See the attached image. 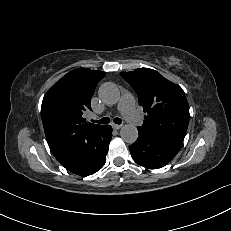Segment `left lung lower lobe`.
<instances>
[{
    "instance_id": "left-lung-lower-lobe-1",
    "label": "left lung lower lobe",
    "mask_w": 231,
    "mask_h": 231,
    "mask_svg": "<svg viewBox=\"0 0 231 231\" xmlns=\"http://www.w3.org/2000/svg\"><path fill=\"white\" fill-rule=\"evenodd\" d=\"M139 137L129 146L133 159L141 166L159 169L179 152L182 142L138 129Z\"/></svg>"
}]
</instances>
